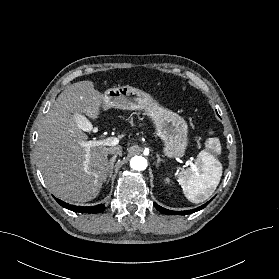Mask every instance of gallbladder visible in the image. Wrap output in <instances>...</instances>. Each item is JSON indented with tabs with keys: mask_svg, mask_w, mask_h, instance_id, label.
<instances>
[{
	"mask_svg": "<svg viewBox=\"0 0 279 279\" xmlns=\"http://www.w3.org/2000/svg\"><path fill=\"white\" fill-rule=\"evenodd\" d=\"M74 119L76 121V123L81 126L82 125V122L84 121L83 118H82V115L77 113V114H74Z\"/></svg>",
	"mask_w": 279,
	"mask_h": 279,
	"instance_id": "bac80fb5",
	"label": "gallbladder"
}]
</instances>
